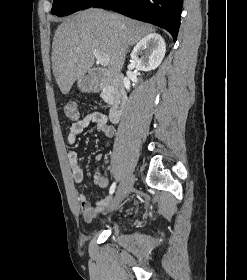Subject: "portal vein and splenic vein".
Instances as JSON below:
<instances>
[{"label":"portal vein and splenic vein","instance_id":"18ae733b","mask_svg":"<svg viewBox=\"0 0 247 280\" xmlns=\"http://www.w3.org/2000/svg\"><path fill=\"white\" fill-rule=\"evenodd\" d=\"M93 55L97 59V62L102 66H107L109 64V57L107 55L101 54L98 51H93Z\"/></svg>","mask_w":247,"mask_h":280}]
</instances>
